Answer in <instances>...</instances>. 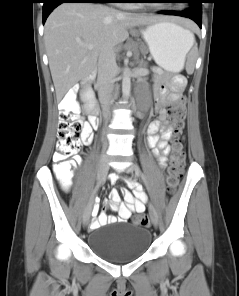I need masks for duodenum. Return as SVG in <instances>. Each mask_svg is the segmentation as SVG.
Returning a JSON list of instances; mask_svg holds the SVG:
<instances>
[{
  "mask_svg": "<svg viewBox=\"0 0 239 296\" xmlns=\"http://www.w3.org/2000/svg\"><path fill=\"white\" fill-rule=\"evenodd\" d=\"M94 78H95V71H93L90 75H88L83 80V85L85 87H88L93 82ZM90 111H91L90 123L94 128H96L98 126V119H97L98 110L96 107H92Z\"/></svg>",
  "mask_w": 239,
  "mask_h": 296,
  "instance_id": "duodenum-1",
  "label": "duodenum"
}]
</instances>
